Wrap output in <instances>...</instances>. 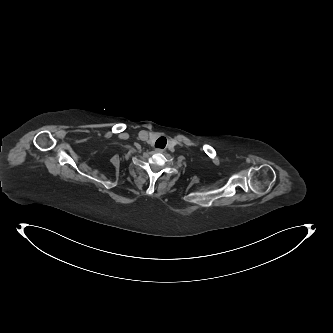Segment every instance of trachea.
Masks as SVG:
<instances>
[{
	"mask_svg": "<svg viewBox=\"0 0 333 333\" xmlns=\"http://www.w3.org/2000/svg\"><path fill=\"white\" fill-rule=\"evenodd\" d=\"M166 143H167L166 138L165 137H160L155 142V147H157V148H164L166 146Z\"/></svg>",
	"mask_w": 333,
	"mask_h": 333,
	"instance_id": "1",
	"label": "trachea"
}]
</instances>
